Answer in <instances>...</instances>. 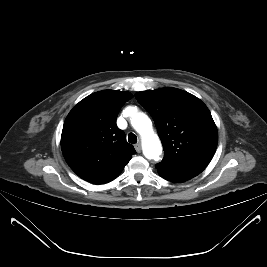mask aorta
I'll list each match as a JSON object with an SVG mask.
<instances>
[{
  "mask_svg": "<svg viewBox=\"0 0 267 267\" xmlns=\"http://www.w3.org/2000/svg\"><path fill=\"white\" fill-rule=\"evenodd\" d=\"M126 112L132 127L141 136L144 156L149 160L159 161L162 146L159 137L153 131L150 118L135 107L126 108Z\"/></svg>",
  "mask_w": 267,
  "mask_h": 267,
  "instance_id": "1",
  "label": "aorta"
}]
</instances>
